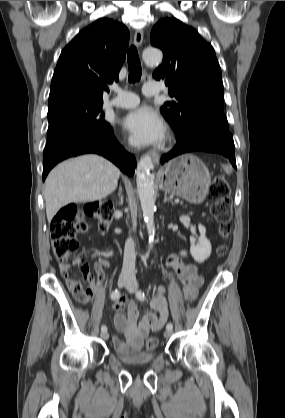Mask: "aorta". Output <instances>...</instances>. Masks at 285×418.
Masks as SVG:
<instances>
[{
	"mask_svg": "<svg viewBox=\"0 0 285 418\" xmlns=\"http://www.w3.org/2000/svg\"><path fill=\"white\" fill-rule=\"evenodd\" d=\"M143 59L147 65H155L162 60V53L157 49H146L143 52ZM153 168L151 157L144 155L140 159L136 170L137 192L150 241L153 240L155 232V185L154 175L151 172Z\"/></svg>",
	"mask_w": 285,
	"mask_h": 418,
	"instance_id": "762f6f07",
	"label": "aorta"
}]
</instances>
